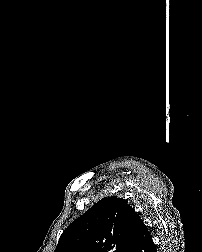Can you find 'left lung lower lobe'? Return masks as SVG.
<instances>
[{
	"label": "left lung lower lobe",
	"mask_w": 202,
	"mask_h": 252,
	"mask_svg": "<svg viewBox=\"0 0 202 252\" xmlns=\"http://www.w3.org/2000/svg\"><path fill=\"white\" fill-rule=\"evenodd\" d=\"M132 252H157L156 245L143 221L138 227L136 242Z\"/></svg>",
	"instance_id": "obj_1"
}]
</instances>
